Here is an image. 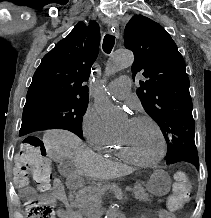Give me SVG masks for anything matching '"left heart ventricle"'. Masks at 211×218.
I'll list each match as a JSON object with an SVG mask.
<instances>
[{
	"mask_svg": "<svg viewBox=\"0 0 211 218\" xmlns=\"http://www.w3.org/2000/svg\"><path fill=\"white\" fill-rule=\"evenodd\" d=\"M118 135L136 157L151 161L158 157L161 149L159 135L146 120L125 119L118 128Z\"/></svg>",
	"mask_w": 211,
	"mask_h": 218,
	"instance_id": "b2bd125f",
	"label": "left heart ventricle"
}]
</instances>
